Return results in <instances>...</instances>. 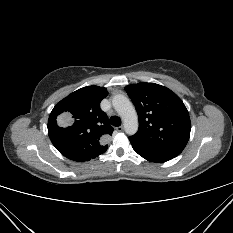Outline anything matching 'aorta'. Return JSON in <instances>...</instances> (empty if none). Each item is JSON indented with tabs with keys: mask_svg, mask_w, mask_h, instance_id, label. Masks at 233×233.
<instances>
[{
	"mask_svg": "<svg viewBox=\"0 0 233 233\" xmlns=\"http://www.w3.org/2000/svg\"><path fill=\"white\" fill-rule=\"evenodd\" d=\"M112 105L123 120L124 130L128 135H133L138 130V116L130 100L122 95H115Z\"/></svg>",
	"mask_w": 233,
	"mask_h": 233,
	"instance_id": "762f6f07",
	"label": "aorta"
}]
</instances>
